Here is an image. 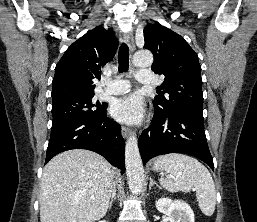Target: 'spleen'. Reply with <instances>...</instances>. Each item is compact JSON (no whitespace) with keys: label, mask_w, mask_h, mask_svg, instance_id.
<instances>
[{"label":"spleen","mask_w":257,"mask_h":222,"mask_svg":"<svg viewBox=\"0 0 257 222\" xmlns=\"http://www.w3.org/2000/svg\"><path fill=\"white\" fill-rule=\"evenodd\" d=\"M156 170L161 172V185L171 192L196 190L198 205L206 216L213 215L216 205V189L208 169L198 160L183 154H167L155 161Z\"/></svg>","instance_id":"spleen-1"}]
</instances>
